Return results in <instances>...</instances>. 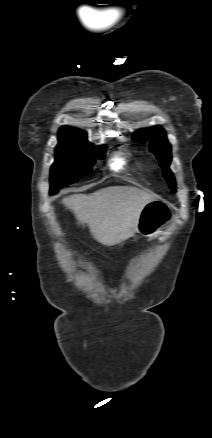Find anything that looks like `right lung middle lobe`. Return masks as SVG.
Instances as JSON below:
<instances>
[{
  "label": "right lung middle lobe",
  "instance_id": "right-lung-middle-lobe-1",
  "mask_svg": "<svg viewBox=\"0 0 212 438\" xmlns=\"http://www.w3.org/2000/svg\"><path fill=\"white\" fill-rule=\"evenodd\" d=\"M105 152V145H100L95 149L94 145L87 140L59 139V144L55 149V162L50 172L51 194L77 182L91 170L96 155L101 160Z\"/></svg>",
  "mask_w": 212,
  "mask_h": 438
}]
</instances>
